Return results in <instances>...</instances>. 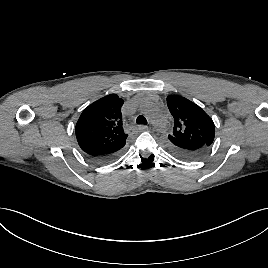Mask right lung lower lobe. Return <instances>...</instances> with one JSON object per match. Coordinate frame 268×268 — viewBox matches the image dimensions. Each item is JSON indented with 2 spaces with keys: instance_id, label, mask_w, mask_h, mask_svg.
Instances as JSON below:
<instances>
[{
  "instance_id": "right-lung-lower-lobe-1",
  "label": "right lung lower lobe",
  "mask_w": 268,
  "mask_h": 268,
  "mask_svg": "<svg viewBox=\"0 0 268 268\" xmlns=\"http://www.w3.org/2000/svg\"><path fill=\"white\" fill-rule=\"evenodd\" d=\"M120 153V150L119 151H116V152H113V153H110V154H106V155H98V156H93V155H88V157L92 158L93 160L97 161V162H109V161H112L114 160Z\"/></svg>"
}]
</instances>
